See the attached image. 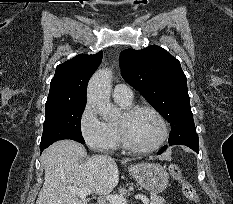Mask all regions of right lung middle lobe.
Returning <instances> with one entry per match:
<instances>
[{
    "label": "right lung middle lobe",
    "instance_id": "obj_1",
    "mask_svg": "<svg viewBox=\"0 0 233 204\" xmlns=\"http://www.w3.org/2000/svg\"><path fill=\"white\" fill-rule=\"evenodd\" d=\"M84 108L85 102L46 104L40 148H47L55 141L62 139H71L84 144L80 129Z\"/></svg>",
    "mask_w": 233,
    "mask_h": 204
}]
</instances>
